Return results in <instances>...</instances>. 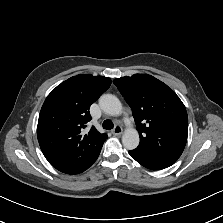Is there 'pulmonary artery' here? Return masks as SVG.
Here are the masks:
<instances>
[{"label":"pulmonary artery","mask_w":223,"mask_h":223,"mask_svg":"<svg viewBox=\"0 0 223 223\" xmlns=\"http://www.w3.org/2000/svg\"><path fill=\"white\" fill-rule=\"evenodd\" d=\"M123 123H124L125 126L130 127V126L133 125L134 120H133L132 117L127 116V117L124 118Z\"/></svg>","instance_id":"pulmonary-artery-1"}]
</instances>
